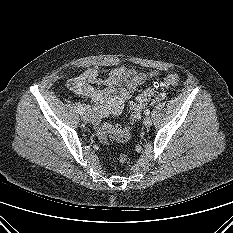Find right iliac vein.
<instances>
[{"label": "right iliac vein", "mask_w": 233, "mask_h": 233, "mask_svg": "<svg viewBox=\"0 0 233 233\" xmlns=\"http://www.w3.org/2000/svg\"><path fill=\"white\" fill-rule=\"evenodd\" d=\"M82 119L85 121V122H89L90 121V116L88 113H85V114H82Z\"/></svg>", "instance_id": "obj_1"}]
</instances>
